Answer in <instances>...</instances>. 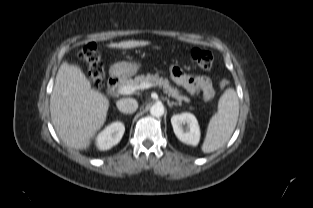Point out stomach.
I'll return each mask as SVG.
<instances>
[{"instance_id": "stomach-1", "label": "stomach", "mask_w": 313, "mask_h": 208, "mask_svg": "<svg viewBox=\"0 0 313 208\" xmlns=\"http://www.w3.org/2000/svg\"><path fill=\"white\" fill-rule=\"evenodd\" d=\"M140 65L137 63H131V62H120L115 64L112 69L111 73L116 76H133L137 73L139 70Z\"/></svg>"}]
</instances>
